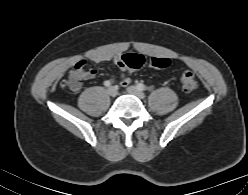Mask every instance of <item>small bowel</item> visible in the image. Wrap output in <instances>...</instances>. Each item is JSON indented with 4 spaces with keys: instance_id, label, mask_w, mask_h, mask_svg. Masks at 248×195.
Returning <instances> with one entry per match:
<instances>
[{
    "instance_id": "1",
    "label": "small bowel",
    "mask_w": 248,
    "mask_h": 195,
    "mask_svg": "<svg viewBox=\"0 0 248 195\" xmlns=\"http://www.w3.org/2000/svg\"><path fill=\"white\" fill-rule=\"evenodd\" d=\"M90 62L95 63V64H103L107 61H111L114 64H116L122 71V74L120 76V83L123 86H128L131 82L130 77L125 73L127 69L122 66L120 62V56H104V55H95L92 56L89 59ZM83 63V62H82ZM96 70L92 68H85L83 72V78L85 80L92 79L96 76Z\"/></svg>"
}]
</instances>
